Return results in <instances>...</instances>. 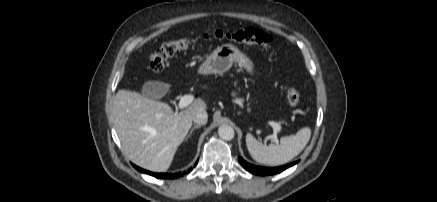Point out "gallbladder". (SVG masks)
<instances>
[{"instance_id":"bac80fb5","label":"gallbladder","mask_w":437,"mask_h":202,"mask_svg":"<svg viewBox=\"0 0 437 202\" xmlns=\"http://www.w3.org/2000/svg\"><path fill=\"white\" fill-rule=\"evenodd\" d=\"M167 91V84L159 81H147L142 87L141 94L146 98L156 100L163 97Z\"/></svg>"}]
</instances>
